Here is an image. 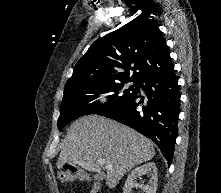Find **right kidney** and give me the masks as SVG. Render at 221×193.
<instances>
[{
  "label": "right kidney",
  "instance_id": "1",
  "mask_svg": "<svg viewBox=\"0 0 221 193\" xmlns=\"http://www.w3.org/2000/svg\"><path fill=\"white\" fill-rule=\"evenodd\" d=\"M147 174L150 179L146 185L138 184L137 178H140L142 175ZM134 187L141 188L145 193H156L157 189V168L155 163L149 162L142 166L135 168L131 174H129L124 188L123 193H132Z\"/></svg>",
  "mask_w": 221,
  "mask_h": 193
}]
</instances>
